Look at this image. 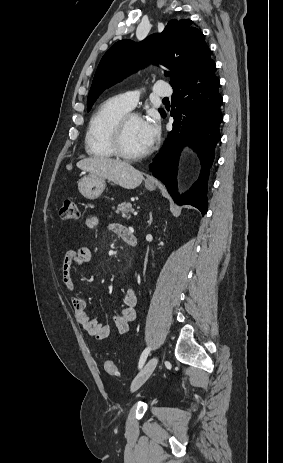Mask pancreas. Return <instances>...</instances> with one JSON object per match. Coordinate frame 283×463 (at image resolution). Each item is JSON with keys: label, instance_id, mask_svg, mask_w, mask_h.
<instances>
[{"label": "pancreas", "instance_id": "obj_1", "mask_svg": "<svg viewBox=\"0 0 283 463\" xmlns=\"http://www.w3.org/2000/svg\"><path fill=\"white\" fill-rule=\"evenodd\" d=\"M132 204L130 202L120 203L116 209V213L121 215L123 218H130L129 213L133 212Z\"/></svg>", "mask_w": 283, "mask_h": 463}]
</instances>
